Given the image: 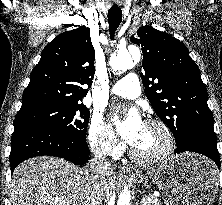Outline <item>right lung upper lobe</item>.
Listing matches in <instances>:
<instances>
[{
  "label": "right lung upper lobe",
  "mask_w": 222,
  "mask_h": 205,
  "mask_svg": "<svg viewBox=\"0 0 222 205\" xmlns=\"http://www.w3.org/2000/svg\"><path fill=\"white\" fill-rule=\"evenodd\" d=\"M94 59L89 28L81 26L58 35L44 48L33 68L19 112L82 101L88 92L82 86L89 88L94 78Z\"/></svg>",
  "instance_id": "right-lung-upper-lobe-1"
}]
</instances>
